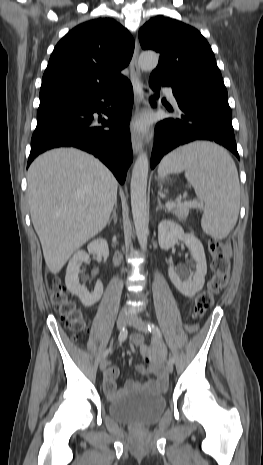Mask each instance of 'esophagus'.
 <instances>
[{
	"label": "esophagus",
	"mask_w": 263,
	"mask_h": 465,
	"mask_svg": "<svg viewBox=\"0 0 263 465\" xmlns=\"http://www.w3.org/2000/svg\"><path fill=\"white\" fill-rule=\"evenodd\" d=\"M138 57H139V42L136 38L135 41V48L134 53L130 62V78L133 85L135 101H136V108L135 113L139 111V106L143 100V91L140 85V69L138 65ZM131 142L134 154H138L142 150V140L139 134L135 131H132L131 134Z\"/></svg>",
	"instance_id": "esophagus-1"
}]
</instances>
